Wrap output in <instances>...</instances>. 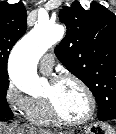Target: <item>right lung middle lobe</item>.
<instances>
[{
	"mask_svg": "<svg viewBox=\"0 0 116 134\" xmlns=\"http://www.w3.org/2000/svg\"><path fill=\"white\" fill-rule=\"evenodd\" d=\"M8 87V76H0V119L9 118L13 114L6 100Z\"/></svg>",
	"mask_w": 116,
	"mask_h": 134,
	"instance_id": "right-lung-middle-lobe-1",
	"label": "right lung middle lobe"
}]
</instances>
